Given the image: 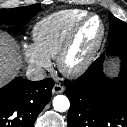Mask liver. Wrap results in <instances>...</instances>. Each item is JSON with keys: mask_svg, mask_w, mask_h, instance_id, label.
Here are the masks:
<instances>
[{"mask_svg": "<svg viewBox=\"0 0 127 127\" xmlns=\"http://www.w3.org/2000/svg\"><path fill=\"white\" fill-rule=\"evenodd\" d=\"M20 65L16 43L8 34L0 32V87L17 74Z\"/></svg>", "mask_w": 127, "mask_h": 127, "instance_id": "1", "label": "liver"}]
</instances>
